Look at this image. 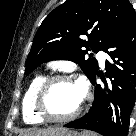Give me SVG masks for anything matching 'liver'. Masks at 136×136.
I'll use <instances>...</instances> for the list:
<instances>
[{"instance_id":"liver-1","label":"liver","mask_w":136,"mask_h":136,"mask_svg":"<svg viewBox=\"0 0 136 136\" xmlns=\"http://www.w3.org/2000/svg\"><path fill=\"white\" fill-rule=\"evenodd\" d=\"M66 129L57 127V128H47V129H31L28 130L22 136H54L61 131H65Z\"/></svg>"}]
</instances>
